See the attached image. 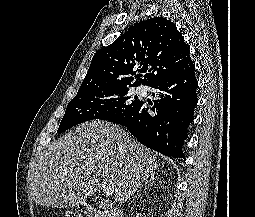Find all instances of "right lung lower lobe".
<instances>
[{
    "mask_svg": "<svg viewBox=\"0 0 255 217\" xmlns=\"http://www.w3.org/2000/svg\"><path fill=\"white\" fill-rule=\"evenodd\" d=\"M195 66L191 60L148 86L156 89L158 100L149 108L143 101L129 113L111 122L121 124L147 147L174 158H183L182 146L193 121L197 104ZM151 109L154 114H149Z\"/></svg>",
    "mask_w": 255,
    "mask_h": 217,
    "instance_id": "right-lung-lower-lobe-1",
    "label": "right lung lower lobe"
}]
</instances>
